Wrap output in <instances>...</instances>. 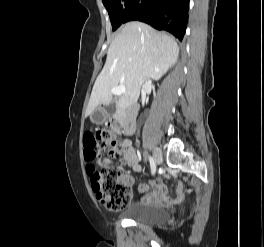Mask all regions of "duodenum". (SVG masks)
<instances>
[{"instance_id":"410a0bca","label":"duodenum","mask_w":264,"mask_h":247,"mask_svg":"<svg viewBox=\"0 0 264 247\" xmlns=\"http://www.w3.org/2000/svg\"><path fill=\"white\" fill-rule=\"evenodd\" d=\"M137 106L131 105L127 108L124 115L120 118V123L126 134L131 135L136 129Z\"/></svg>"}]
</instances>
